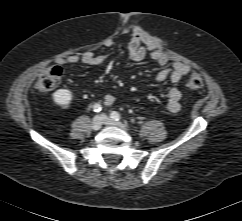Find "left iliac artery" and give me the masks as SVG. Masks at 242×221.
<instances>
[{
    "mask_svg": "<svg viewBox=\"0 0 242 221\" xmlns=\"http://www.w3.org/2000/svg\"><path fill=\"white\" fill-rule=\"evenodd\" d=\"M111 118L114 119V120H116V121L121 120V116H120V114H119L118 112H116V111H113V112L111 113Z\"/></svg>",
    "mask_w": 242,
    "mask_h": 221,
    "instance_id": "left-iliac-artery-1",
    "label": "left iliac artery"
}]
</instances>
